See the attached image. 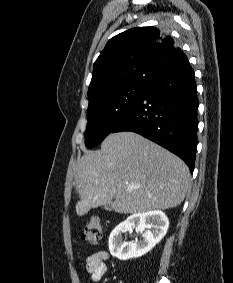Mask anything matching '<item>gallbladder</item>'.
Wrapping results in <instances>:
<instances>
[{
  "mask_svg": "<svg viewBox=\"0 0 233 283\" xmlns=\"http://www.w3.org/2000/svg\"><path fill=\"white\" fill-rule=\"evenodd\" d=\"M105 209L108 210V211L112 210V202L109 203V204H106Z\"/></svg>",
  "mask_w": 233,
  "mask_h": 283,
  "instance_id": "bac80fb5",
  "label": "gallbladder"
}]
</instances>
